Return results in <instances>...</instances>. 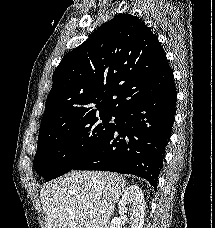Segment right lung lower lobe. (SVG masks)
<instances>
[{
  "label": "right lung lower lobe",
  "mask_w": 215,
  "mask_h": 228,
  "mask_svg": "<svg viewBox=\"0 0 215 228\" xmlns=\"http://www.w3.org/2000/svg\"><path fill=\"white\" fill-rule=\"evenodd\" d=\"M174 77L116 114L111 133L72 170H103L134 174L156 189L165 148L175 120Z\"/></svg>",
  "instance_id": "98d812e1"
}]
</instances>
